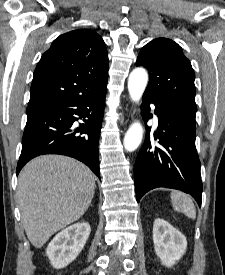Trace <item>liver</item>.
Returning <instances> with one entry per match:
<instances>
[{
    "instance_id": "obj_1",
    "label": "liver",
    "mask_w": 225,
    "mask_h": 275,
    "mask_svg": "<svg viewBox=\"0 0 225 275\" xmlns=\"http://www.w3.org/2000/svg\"><path fill=\"white\" fill-rule=\"evenodd\" d=\"M95 180L86 165L61 155L39 156L24 166L18 177V203L35 248L81 218L94 196Z\"/></svg>"
}]
</instances>
